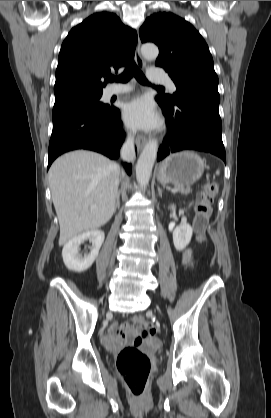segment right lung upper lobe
<instances>
[{"mask_svg": "<svg viewBox=\"0 0 271 418\" xmlns=\"http://www.w3.org/2000/svg\"><path fill=\"white\" fill-rule=\"evenodd\" d=\"M137 34L113 13H95L72 28L58 58L55 102L102 94L104 78L133 60Z\"/></svg>", "mask_w": 271, "mask_h": 418, "instance_id": "right-lung-upper-lobe-1", "label": "right lung upper lobe"}]
</instances>
